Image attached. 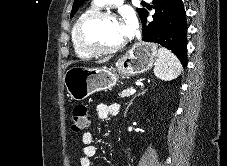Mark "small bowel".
Returning <instances> with one entry per match:
<instances>
[{"label":"small bowel","instance_id":"obj_1","mask_svg":"<svg viewBox=\"0 0 227 166\" xmlns=\"http://www.w3.org/2000/svg\"><path fill=\"white\" fill-rule=\"evenodd\" d=\"M119 111L120 105L117 103H113L110 105L100 103L96 106V114L99 120H105L109 117L116 116ZM82 142L84 144V148L80 157V166H92L91 158L98 153V149L96 148V146L93 145V134L90 132H85L82 135Z\"/></svg>","mask_w":227,"mask_h":166}]
</instances>
